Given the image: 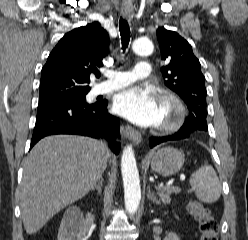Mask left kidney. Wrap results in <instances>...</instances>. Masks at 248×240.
<instances>
[{"label": "left kidney", "instance_id": "1", "mask_svg": "<svg viewBox=\"0 0 248 240\" xmlns=\"http://www.w3.org/2000/svg\"><path fill=\"white\" fill-rule=\"evenodd\" d=\"M164 240H180V239L175 233L170 232L167 234V236L164 238Z\"/></svg>", "mask_w": 248, "mask_h": 240}]
</instances>
